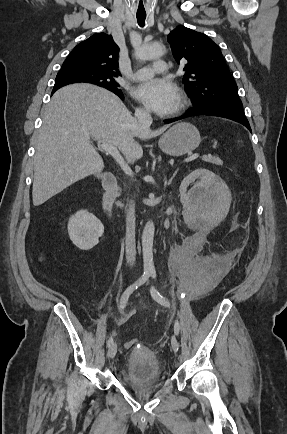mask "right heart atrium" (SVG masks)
Here are the masks:
<instances>
[{
  "label": "right heart atrium",
  "mask_w": 287,
  "mask_h": 434,
  "mask_svg": "<svg viewBox=\"0 0 287 434\" xmlns=\"http://www.w3.org/2000/svg\"><path fill=\"white\" fill-rule=\"evenodd\" d=\"M139 112H140V113H145V109L140 108V109H139Z\"/></svg>",
  "instance_id": "d8ad5b80"
}]
</instances>
